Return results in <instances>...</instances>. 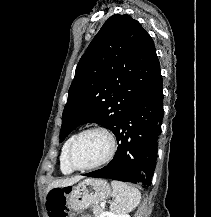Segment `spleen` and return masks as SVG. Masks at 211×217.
Here are the masks:
<instances>
[{"instance_id":"3e777b00","label":"spleen","mask_w":211,"mask_h":217,"mask_svg":"<svg viewBox=\"0 0 211 217\" xmlns=\"http://www.w3.org/2000/svg\"><path fill=\"white\" fill-rule=\"evenodd\" d=\"M111 185L114 201L111 203L110 209L114 214L123 215L138 206L141 201V193L136 188L116 180H113Z\"/></svg>"}]
</instances>
